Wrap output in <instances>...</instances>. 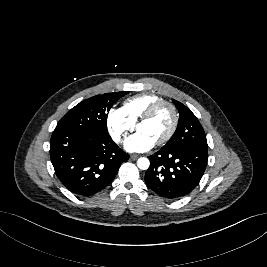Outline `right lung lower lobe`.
Masks as SVG:
<instances>
[{
    "mask_svg": "<svg viewBox=\"0 0 267 267\" xmlns=\"http://www.w3.org/2000/svg\"><path fill=\"white\" fill-rule=\"evenodd\" d=\"M50 158L62 184L78 196H91L115 178L129 159L108 133L54 130Z\"/></svg>",
    "mask_w": 267,
    "mask_h": 267,
    "instance_id": "98d812e1",
    "label": "right lung lower lobe"
}]
</instances>
